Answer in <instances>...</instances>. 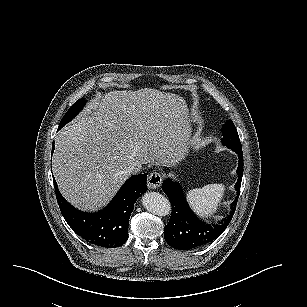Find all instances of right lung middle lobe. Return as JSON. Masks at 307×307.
Segmentation results:
<instances>
[{"mask_svg":"<svg viewBox=\"0 0 307 307\" xmlns=\"http://www.w3.org/2000/svg\"><path fill=\"white\" fill-rule=\"evenodd\" d=\"M84 104H85V99L84 98H81L77 102H75L69 108V110L66 112L64 117L62 118V120H61V122L59 124L58 130L61 129L69 121H71L80 112V110L83 108Z\"/></svg>","mask_w":307,"mask_h":307,"instance_id":"right-lung-middle-lobe-1","label":"right lung middle lobe"}]
</instances>
